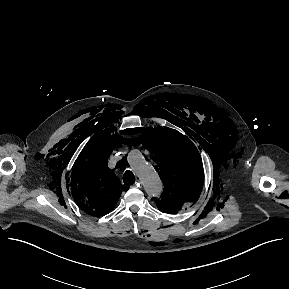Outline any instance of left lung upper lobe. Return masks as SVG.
<instances>
[{"label":"left lung upper lobe","mask_w":289,"mask_h":289,"mask_svg":"<svg viewBox=\"0 0 289 289\" xmlns=\"http://www.w3.org/2000/svg\"><path fill=\"white\" fill-rule=\"evenodd\" d=\"M157 163L155 169L164 183L159 199L161 212L176 214L197 202L203 187V164L194 144L170 128H147L140 136Z\"/></svg>","instance_id":"5c2ea615"}]
</instances>
